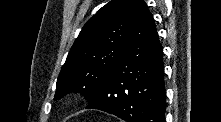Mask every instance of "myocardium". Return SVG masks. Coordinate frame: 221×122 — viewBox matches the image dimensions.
Returning <instances> with one entry per match:
<instances>
[{
	"instance_id": "myocardium-1",
	"label": "myocardium",
	"mask_w": 221,
	"mask_h": 122,
	"mask_svg": "<svg viewBox=\"0 0 221 122\" xmlns=\"http://www.w3.org/2000/svg\"><path fill=\"white\" fill-rule=\"evenodd\" d=\"M68 102H69V103H71V102H72V100H69Z\"/></svg>"
}]
</instances>
